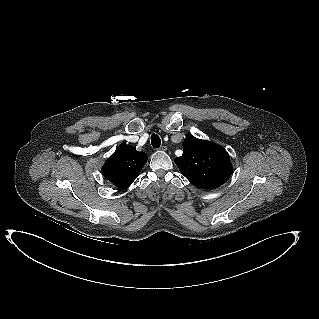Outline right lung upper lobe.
Returning <instances> with one entry per match:
<instances>
[{"instance_id":"obj_1","label":"right lung upper lobe","mask_w":319,"mask_h":319,"mask_svg":"<svg viewBox=\"0 0 319 319\" xmlns=\"http://www.w3.org/2000/svg\"><path fill=\"white\" fill-rule=\"evenodd\" d=\"M147 159L146 153L121 144L103 165L102 173L115 186L126 189L139 175Z\"/></svg>"}]
</instances>
